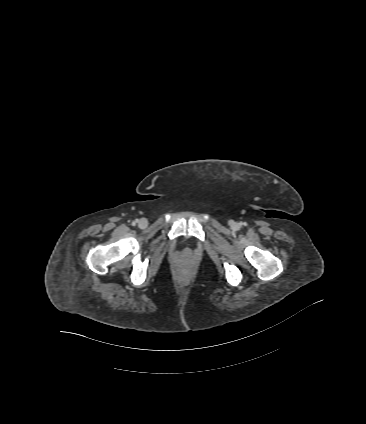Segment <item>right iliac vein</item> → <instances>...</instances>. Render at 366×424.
I'll return each instance as SVG.
<instances>
[{
  "label": "right iliac vein",
  "instance_id": "obj_1",
  "mask_svg": "<svg viewBox=\"0 0 366 424\" xmlns=\"http://www.w3.org/2000/svg\"><path fill=\"white\" fill-rule=\"evenodd\" d=\"M147 225H148V221H147V219H145V218H141V219L139 220V227H140V228H145V227H147Z\"/></svg>",
  "mask_w": 366,
  "mask_h": 424
}]
</instances>
